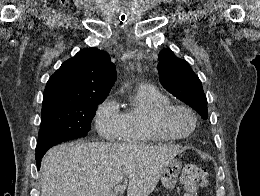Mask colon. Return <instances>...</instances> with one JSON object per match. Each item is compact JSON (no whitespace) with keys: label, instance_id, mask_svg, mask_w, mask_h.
Returning <instances> with one entry per match:
<instances>
[{"label":"colon","instance_id":"obj_1","mask_svg":"<svg viewBox=\"0 0 260 196\" xmlns=\"http://www.w3.org/2000/svg\"><path fill=\"white\" fill-rule=\"evenodd\" d=\"M180 180L185 188L191 192H195L198 187H204L207 184V171L199 165L186 164L180 171Z\"/></svg>","mask_w":260,"mask_h":196}]
</instances>
